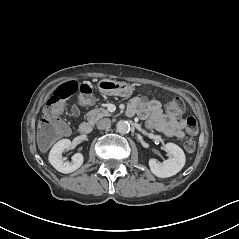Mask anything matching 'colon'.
I'll return each mask as SVG.
<instances>
[{
	"label": "colon",
	"instance_id": "colon-1",
	"mask_svg": "<svg viewBox=\"0 0 239 239\" xmlns=\"http://www.w3.org/2000/svg\"><path fill=\"white\" fill-rule=\"evenodd\" d=\"M78 92V100L75 106V111L91 104L93 102V91L88 84H77L74 81H69L59 85L47 100L44 110V116L39 125V135L42 144L56 140L63 132V127L58 120V114L63 110V107L68 99ZM185 109L183 100L179 97L170 99L166 104V111L170 115H180ZM186 131L189 138L184 142V148L187 152H193L196 147L194 136L198 132L197 121L193 116L186 119Z\"/></svg>",
	"mask_w": 239,
	"mask_h": 239
}]
</instances>
